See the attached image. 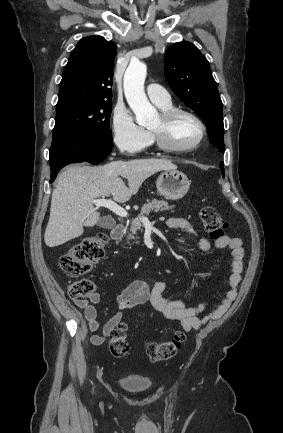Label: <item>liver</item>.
Masks as SVG:
<instances>
[{"label":"liver","instance_id":"liver-1","mask_svg":"<svg viewBox=\"0 0 283 433\" xmlns=\"http://www.w3.org/2000/svg\"><path fill=\"white\" fill-rule=\"evenodd\" d=\"M175 168L176 164L167 158L112 160L103 166H69L59 174L52 192L50 219L44 235L47 247L64 245L81 237L84 227L97 225L100 212L92 198L113 194L116 202H127L148 176L158 170ZM121 176L127 178L128 186Z\"/></svg>","mask_w":283,"mask_h":433}]
</instances>
